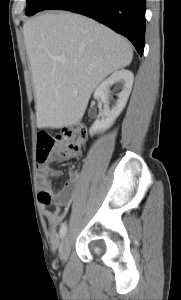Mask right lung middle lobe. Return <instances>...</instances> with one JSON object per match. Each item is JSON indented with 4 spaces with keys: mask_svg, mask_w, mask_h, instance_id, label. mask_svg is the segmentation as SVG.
Listing matches in <instances>:
<instances>
[{
    "mask_svg": "<svg viewBox=\"0 0 181 300\" xmlns=\"http://www.w3.org/2000/svg\"><path fill=\"white\" fill-rule=\"evenodd\" d=\"M56 0H27L26 15L31 16L39 11L47 9Z\"/></svg>",
    "mask_w": 181,
    "mask_h": 300,
    "instance_id": "dd1d6c3e",
    "label": "right lung middle lobe"
}]
</instances>
